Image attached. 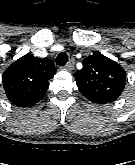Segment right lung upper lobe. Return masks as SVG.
Returning <instances> with one entry per match:
<instances>
[{
	"label": "right lung upper lobe",
	"mask_w": 135,
	"mask_h": 165,
	"mask_svg": "<svg viewBox=\"0 0 135 165\" xmlns=\"http://www.w3.org/2000/svg\"><path fill=\"white\" fill-rule=\"evenodd\" d=\"M50 59L26 54L12 63L3 73L2 82L8 99L19 107H29L45 95L49 80L55 74Z\"/></svg>",
	"instance_id": "obj_1"
}]
</instances>
